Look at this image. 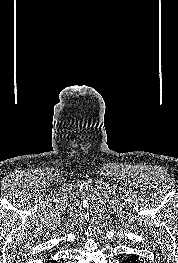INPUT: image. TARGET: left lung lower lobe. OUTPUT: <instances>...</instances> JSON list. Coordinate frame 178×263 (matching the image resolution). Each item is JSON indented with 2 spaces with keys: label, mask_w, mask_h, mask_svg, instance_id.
<instances>
[{
  "label": "left lung lower lobe",
  "mask_w": 178,
  "mask_h": 263,
  "mask_svg": "<svg viewBox=\"0 0 178 263\" xmlns=\"http://www.w3.org/2000/svg\"><path fill=\"white\" fill-rule=\"evenodd\" d=\"M122 263H140V261L134 256H128V258L124 259Z\"/></svg>",
  "instance_id": "0a47b994"
}]
</instances>
